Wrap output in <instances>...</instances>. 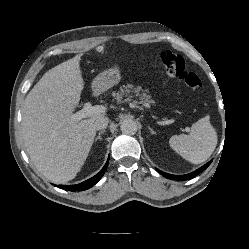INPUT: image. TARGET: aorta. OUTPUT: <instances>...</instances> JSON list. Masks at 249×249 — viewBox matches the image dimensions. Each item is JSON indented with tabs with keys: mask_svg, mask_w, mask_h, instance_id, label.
Wrapping results in <instances>:
<instances>
[{
	"mask_svg": "<svg viewBox=\"0 0 249 249\" xmlns=\"http://www.w3.org/2000/svg\"><path fill=\"white\" fill-rule=\"evenodd\" d=\"M120 129L126 135H134L137 132V124L132 119H126L121 123Z\"/></svg>",
	"mask_w": 249,
	"mask_h": 249,
	"instance_id": "762f6f07",
	"label": "aorta"
}]
</instances>
